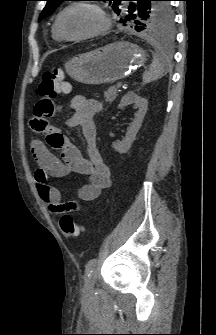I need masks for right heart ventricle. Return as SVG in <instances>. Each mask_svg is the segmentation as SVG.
Here are the masks:
<instances>
[{"mask_svg":"<svg viewBox=\"0 0 216 335\" xmlns=\"http://www.w3.org/2000/svg\"><path fill=\"white\" fill-rule=\"evenodd\" d=\"M52 35H53V38L57 41H62V38L57 34V32L55 31L54 29V26L52 28Z\"/></svg>","mask_w":216,"mask_h":335,"instance_id":"1","label":"right heart ventricle"}]
</instances>
